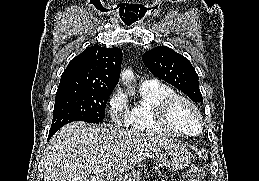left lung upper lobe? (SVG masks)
<instances>
[{"mask_svg": "<svg viewBox=\"0 0 259 181\" xmlns=\"http://www.w3.org/2000/svg\"><path fill=\"white\" fill-rule=\"evenodd\" d=\"M149 71L188 95L194 102L203 101L198 74L189 60L166 46H158L143 54Z\"/></svg>", "mask_w": 259, "mask_h": 181, "instance_id": "left-lung-upper-lobe-1", "label": "left lung upper lobe"}]
</instances>
